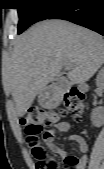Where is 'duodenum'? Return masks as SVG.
<instances>
[{"mask_svg":"<svg viewBox=\"0 0 104 169\" xmlns=\"http://www.w3.org/2000/svg\"><path fill=\"white\" fill-rule=\"evenodd\" d=\"M79 88L82 91H87L88 90V86L86 84H80Z\"/></svg>","mask_w":104,"mask_h":169,"instance_id":"obj_1","label":"duodenum"}]
</instances>
